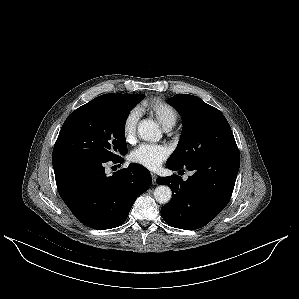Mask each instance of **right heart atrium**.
Returning <instances> with one entry per match:
<instances>
[{
    "label": "right heart atrium",
    "mask_w": 299,
    "mask_h": 299,
    "mask_svg": "<svg viewBox=\"0 0 299 299\" xmlns=\"http://www.w3.org/2000/svg\"><path fill=\"white\" fill-rule=\"evenodd\" d=\"M140 113L137 109H131L125 116L122 124V132L127 143H132L136 138L137 125Z\"/></svg>",
    "instance_id": "1"
}]
</instances>
